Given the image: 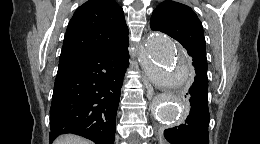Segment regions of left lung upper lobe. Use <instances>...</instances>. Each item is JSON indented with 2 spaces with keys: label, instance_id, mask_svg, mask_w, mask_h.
<instances>
[{
  "label": "left lung upper lobe",
  "instance_id": "1",
  "mask_svg": "<svg viewBox=\"0 0 260 144\" xmlns=\"http://www.w3.org/2000/svg\"><path fill=\"white\" fill-rule=\"evenodd\" d=\"M150 26L152 30L161 31L173 37L187 52L198 53L206 60L203 27L189 6L175 1L160 3L153 11ZM199 65L203 66V62Z\"/></svg>",
  "mask_w": 260,
  "mask_h": 144
}]
</instances>
